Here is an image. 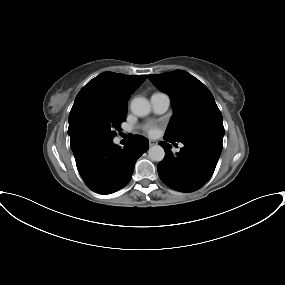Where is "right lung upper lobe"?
Masks as SVG:
<instances>
[{"label":"right lung upper lobe","mask_w":285,"mask_h":285,"mask_svg":"<svg viewBox=\"0 0 285 285\" xmlns=\"http://www.w3.org/2000/svg\"><path fill=\"white\" fill-rule=\"evenodd\" d=\"M146 77V75L103 72L89 81L76 96L70 111L68 128L70 139L73 132V121L84 110L127 112L130 95L145 81Z\"/></svg>","instance_id":"right-lung-upper-lobe-1"}]
</instances>
